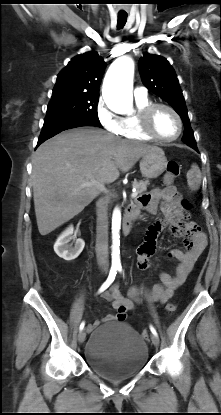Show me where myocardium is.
Wrapping results in <instances>:
<instances>
[{"label": "myocardium", "mask_w": 221, "mask_h": 415, "mask_svg": "<svg viewBox=\"0 0 221 415\" xmlns=\"http://www.w3.org/2000/svg\"><path fill=\"white\" fill-rule=\"evenodd\" d=\"M164 108L168 111H170L174 117L176 118L178 122V132L174 137L171 138H165L160 136L154 129L153 126V117L157 109ZM139 123L142 131L149 136L151 139H154L156 141L160 142H173L177 140L183 131V121L180 116V114L177 112L175 108H173L171 105L165 104V103H150L149 105L145 106L139 113Z\"/></svg>", "instance_id": "1"}]
</instances>
